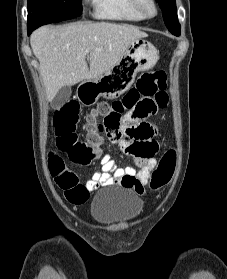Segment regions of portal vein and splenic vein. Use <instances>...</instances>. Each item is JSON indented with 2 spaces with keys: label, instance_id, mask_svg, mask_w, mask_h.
Masks as SVG:
<instances>
[{
  "label": "portal vein and splenic vein",
  "instance_id": "obj_1",
  "mask_svg": "<svg viewBox=\"0 0 227 279\" xmlns=\"http://www.w3.org/2000/svg\"><path fill=\"white\" fill-rule=\"evenodd\" d=\"M89 50H90V49L88 48V49L86 50V52L88 53V52H89Z\"/></svg>",
  "mask_w": 227,
  "mask_h": 279
}]
</instances>
